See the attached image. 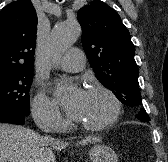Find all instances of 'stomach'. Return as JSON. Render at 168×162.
Masks as SVG:
<instances>
[{
  "label": "stomach",
  "mask_w": 168,
  "mask_h": 162,
  "mask_svg": "<svg viewBox=\"0 0 168 162\" xmlns=\"http://www.w3.org/2000/svg\"><path fill=\"white\" fill-rule=\"evenodd\" d=\"M89 156L92 162H118L114 150L103 144L92 147Z\"/></svg>",
  "instance_id": "0dacf381"
}]
</instances>
